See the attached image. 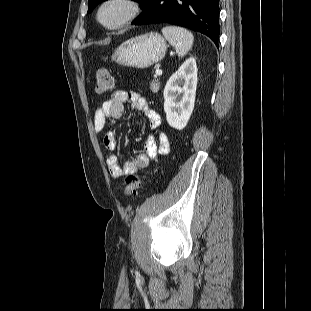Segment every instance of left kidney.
<instances>
[{
    "label": "left kidney",
    "instance_id": "left-kidney-1",
    "mask_svg": "<svg viewBox=\"0 0 311 311\" xmlns=\"http://www.w3.org/2000/svg\"><path fill=\"white\" fill-rule=\"evenodd\" d=\"M196 87L197 66L191 57L169 78L164 89V111L171 127L182 130L187 125L194 109Z\"/></svg>",
    "mask_w": 311,
    "mask_h": 311
}]
</instances>
